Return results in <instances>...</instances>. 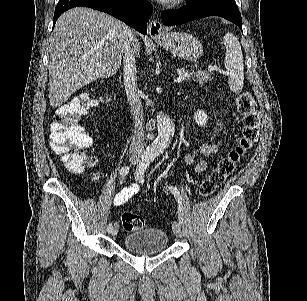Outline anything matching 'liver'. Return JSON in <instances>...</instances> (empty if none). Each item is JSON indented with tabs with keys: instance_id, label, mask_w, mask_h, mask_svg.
<instances>
[{
	"instance_id": "6515ba94",
	"label": "liver",
	"mask_w": 307,
	"mask_h": 301,
	"mask_svg": "<svg viewBox=\"0 0 307 301\" xmlns=\"http://www.w3.org/2000/svg\"><path fill=\"white\" fill-rule=\"evenodd\" d=\"M127 24L86 6L63 12L56 20L49 48V100L61 106L76 90L97 78H110L120 68L128 44ZM140 54L137 40H130Z\"/></svg>"
}]
</instances>
